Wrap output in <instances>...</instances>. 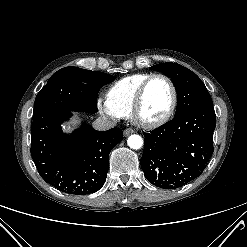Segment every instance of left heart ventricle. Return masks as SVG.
<instances>
[{
    "instance_id": "left-heart-ventricle-1",
    "label": "left heart ventricle",
    "mask_w": 247,
    "mask_h": 247,
    "mask_svg": "<svg viewBox=\"0 0 247 247\" xmlns=\"http://www.w3.org/2000/svg\"><path fill=\"white\" fill-rule=\"evenodd\" d=\"M172 91L169 83L163 78L153 79L145 93L141 108V117L145 120H157L170 108Z\"/></svg>"
}]
</instances>
